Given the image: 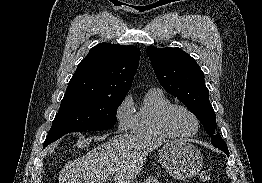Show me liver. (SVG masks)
<instances>
[{
    "mask_svg": "<svg viewBox=\"0 0 262 183\" xmlns=\"http://www.w3.org/2000/svg\"><path fill=\"white\" fill-rule=\"evenodd\" d=\"M166 142L155 136L119 134L82 157L68 161L59 183H131L140 173L146 156Z\"/></svg>",
    "mask_w": 262,
    "mask_h": 183,
    "instance_id": "obj_1",
    "label": "liver"
}]
</instances>
